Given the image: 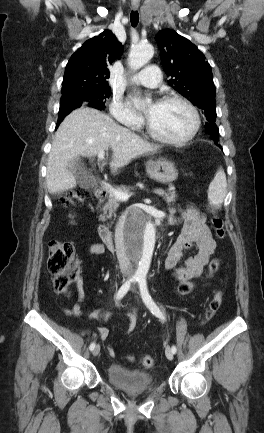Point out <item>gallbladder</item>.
<instances>
[{"label": "gallbladder", "mask_w": 264, "mask_h": 433, "mask_svg": "<svg viewBox=\"0 0 264 433\" xmlns=\"http://www.w3.org/2000/svg\"><path fill=\"white\" fill-rule=\"evenodd\" d=\"M70 169L75 175L80 187L86 189L94 188L93 181L79 157L73 161L72 167Z\"/></svg>", "instance_id": "1"}]
</instances>
